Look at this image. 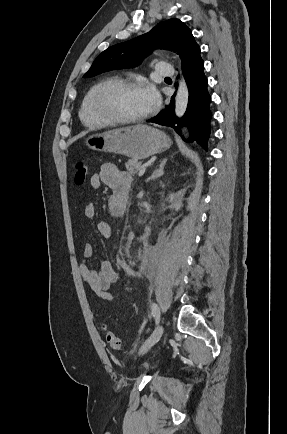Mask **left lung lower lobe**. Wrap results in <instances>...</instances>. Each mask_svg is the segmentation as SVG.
I'll use <instances>...</instances> for the list:
<instances>
[{
  "label": "left lung lower lobe",
  "mask_w": 287,
  "mask_h": 434,
  "mask_svg": "<svg viewBox=\"0 0 287 434\" xmlns=\"http://www.w3.org/2000/svg\"><path fill=\"white\" fill-rule=\"evenodd\" d=\"M182 71L189 91V99L186 112L182 118L174 115L175 95L171 98L169 106H166L157 116L147 122L172 127L179 135H182L181 126L187 130V142H196L205 150L210 138V111L211 97L207 90V78L204 74V62L200 54L193 56L184 65ZM177 87V84H175ZM177 123V126L175 125Z\"/></svg>",
  "instance_id": "1"
}]
</instances>
